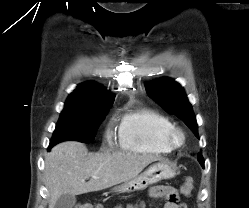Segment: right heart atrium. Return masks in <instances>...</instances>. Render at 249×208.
<instances>
[{"instance_id":"1","label":"right heart atrium","mask_w":249,"mask_h":208,"mask_svg":"<svg viewBox=\"0 0 249 208\" xmlns=\"http://www.w3.org/2000/svg\"><path fill=\"white\" fill-rule=\"evenodd\" d=\"M107 138H108V139L110 138V134H109V133H107Z\"/></svg>"}]
</instances>
